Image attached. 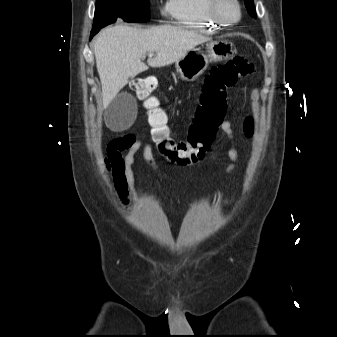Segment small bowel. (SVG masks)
I'll use <instances>...</instances> for the list:
<instances>
[{
  "mask_svg": "<svg viewBox=\"0 0 337 337\" xmlns=\"http://www.w3.org/2000/svg\"><path fill=\"white\" fill-rule=\"evenodd\" d=\"M221 128L231 142V147L228 150V157L231 160V163L226 168V173H231L235 168L238 152L234 146L231 123L229 121H224ZM139 151L142 153V159L150 168L158 171L162 177H168L167 174L159 171L153 156L151 143L148 142L143 144L133 135L113 140L108 145L103 163L105 171L115 189L117 199L122 206H128L131 201L138 198L132 167L135 163L136 154ZM224 204L227 205L228 202L225 201Z\"/></svg>",
  "mask_w": 337,
  "mask_h": 337,
  "instance_id": "1",
  "label": "small bowel"
}]
</instances>
